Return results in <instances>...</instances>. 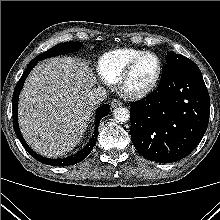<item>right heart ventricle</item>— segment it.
<instances>
[{
	"label": "right heart ventricle",
	"instance_id": "e07e8e85",
	"mask_svg": "<svg viewBox=\"0 0 220 220\" xmlns=\"http://www.w3.org/2000/svg\"><path fill=\"white\" fill-rule=\"evenodd\" d=\"M143 51L134 48H121L103 54L97 65L99 77L106 83H116L130 61Z\"/></svg>",
	"mask_w": 220,
	"mask_h": 220
}]
</instances>
